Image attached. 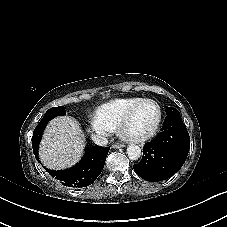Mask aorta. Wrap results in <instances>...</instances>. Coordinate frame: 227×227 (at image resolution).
<instances>
[{"label": "aorta", "instance_id": "aorta-1", "mask_svg": "<svg viewBox=\"0 0 227 227\" xmlns=\"http://www.w3.org/2000/svg\"><path fill=\"white\" fill-rule=\"evenodd\" d=\"M127 155L131 160H138L141 157V148L135 144L127 147Z\"/></svg>", "mask_w": 227, "mask_h": 227}]
</instances>
